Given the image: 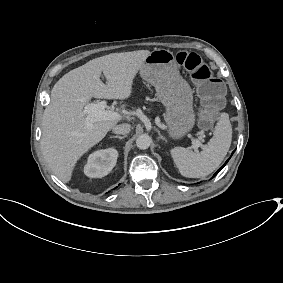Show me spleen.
Instances as JSON below:
<instances>
[{
	"label": "spleen",
	"instance_id": "obj_1",
	"mask_svg": "<svg viewBox=\"0 0 283 283\" xmlns=\"http://www.w3.org/2000/svg\"><path fill=\"white\" fill-rule=\"evenodd\" d=\"M232 142V126L227 113H222L214 135L198 152L183 147L171 150L172 158L184 177L201 178L216 170L227 155Z\"/></svg>",
	"mask_w": 283,
	"mask_h": 283
}]
</instances>
